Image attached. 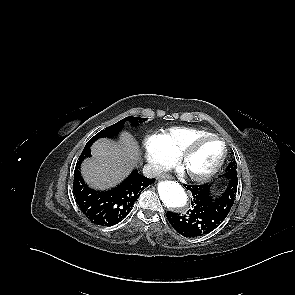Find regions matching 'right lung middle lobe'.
I'll use <instances>...</instances> for the list:
<instances>
[{"instance_id":"obj_1","label":"right lung middle lobe","mask_w":295,"mask_h":295,"mask_svg":"<svg viewBox=\"0 0 295 295\" xmlns=\"http://www.w3.org/2000/svg\"><path fill=\"white\" fill-rule=\"evenodd\" d=\"M145 120V118H137V117H126L122 120H120L119 122L115 123L112 126H109L107 128H105L104 130L100 131L99 133H97L94 137H92L88 143L85 145L84 150L82 151V154H86L87 151L90 149V147L92 146V144L99 138L102 137H113L115 135L118 134V132L123 128L124 124L126 121H130L132 124H135L137 121H139L140 123L143 122Z\"/></svg>"}]
</instances>
